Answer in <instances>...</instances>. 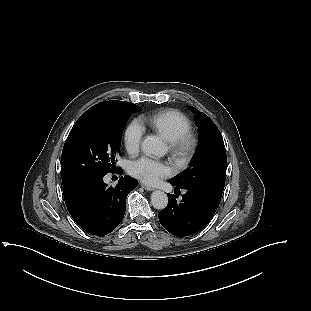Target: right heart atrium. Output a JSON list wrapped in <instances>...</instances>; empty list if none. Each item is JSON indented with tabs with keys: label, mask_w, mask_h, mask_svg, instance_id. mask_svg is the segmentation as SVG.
<instances>
[{
	"label": "right heart atrium",
	"mask_w": 311,
	"mask_h": 311,
	"mask_svg": "<svg viewBox=\"0 0 311 311\" xmlns=\"http://www.w3.org/2000/svg\"><path fill=\"white\" fill-rule=\"evenodd\" d=\"M143 135L144 130L137 121H132L128 124L124 133L125 144L128 151L135 153L139 150Z\"/></svg>",
	"instance_id": "right-heart-atrium-1"
}]
</instances>
